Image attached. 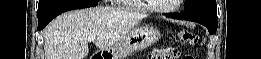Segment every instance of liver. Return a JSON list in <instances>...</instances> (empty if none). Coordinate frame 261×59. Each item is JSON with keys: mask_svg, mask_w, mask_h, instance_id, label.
<instances>
[{"mask_svg": "<svg viewBox=\"0 0 261 59\" xmlns=\"http://www.w3.org/2000/svg\"><path fill=\"white\" fill-rule=\"evenodd\" d=\"M143 18L144 14L102 6L66 12L44 29L46 59H85L89 36L96 37V47L106 50Z\"/></svg>", "mask_w": 261, "mask_h": 59, "instance_id": "6515ba94", "label": "liver"}]
</instances>
